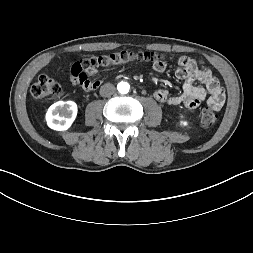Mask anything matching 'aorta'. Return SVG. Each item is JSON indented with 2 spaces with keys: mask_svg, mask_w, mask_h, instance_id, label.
<instances>
[{
  "mask_svg": "<svg viewBox=\"0 0 253 253\" xmlns=\"http://www.w3.org/2000/svg\"><path fill=\"white\" fill-rule=\"evenodd\" d=\"M130 85L128 82H120L117 85V90L120 94H127L129 92Z\"/></svg>",
  "mask_w": 253,
  "mask_h": 253,
  "instance_id": "1",
  "label": "aorta"
}]
</instances>
